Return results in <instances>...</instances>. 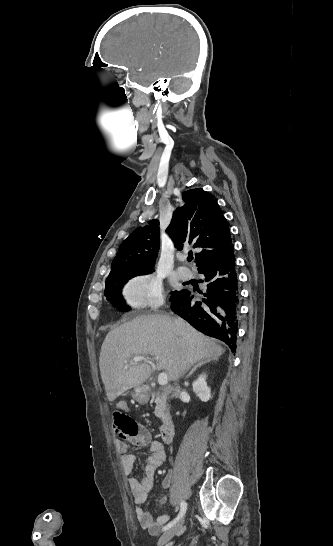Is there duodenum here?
I'll list each match as a JSON object with an SVG mask.
<instances>
[{
    "label": "duodenum",
    "instance_id": "410a0bca",
    "mask_svg": "<svg viewBox=\"0 0 333 546\" xmlns=\"http://www.w3.org/2000/svg\"><path fill=\"white\" fill-rule=\"evenodd\" d=\"M166 394L171 392L170 387L164 389ZM159 436L164 443H171L175 436V425L172 418L169 415H165L160 428Z\"/></svg>",
    "mask_w": 333,
    "mask_h": 546
}]
</instances>
